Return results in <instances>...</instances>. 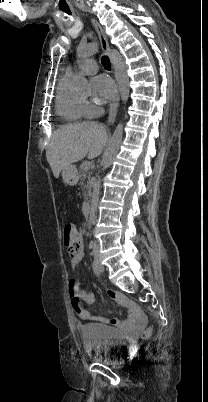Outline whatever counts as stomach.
Here are the masks:
<instances>
[{"instance_id": "0dacf381", "label": "stomach", "mask_w": 208, "mask_h": 402, "mask_svg": "<svg viewBox=\"0 0 208 402\" xmlns=\"http://www.w3.org/2000/svg\"><path fill=\"white\" fill-rule=\"evenodd\" d=\"M61 176L63 178V182L68 184V186H76V184H78L79 174L77 172V168H75L73 164H70V166H65V168L62 170Z\"/></svg>"}]
</instances>
